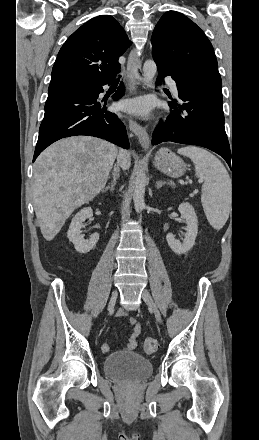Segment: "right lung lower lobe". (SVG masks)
I'll use <instances>...</instances> for the list:
<instances>
[{"instance_id": "obj_1", "label": "right lung lower lobe", "mask_w": 259, "mask_h": 440, "mask_svg": "<svg viewBox=\"0 0 259 440\" xmlns=\"http://www.w3.org/2000/svg\"><path fill=\"white\" fill-rule=\"evenodd\" d=\"M113 78L98 85L48 92L33 162L53 142L76 135L99 137L125 149L129 148L123 122L116 114L107 111L105 105L97 101L98 95L103 92L102 86L110 84ZM123 94L124 87L121 83L113 99L118 100Z\"/></svg>"}]
</instances>
